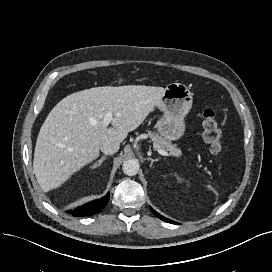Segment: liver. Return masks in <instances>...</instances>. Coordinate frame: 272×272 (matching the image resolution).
<instances>
[{"instance_id":"liver-1","label":"liver","mask_w":272,"mask_h":272,"mask_svg":"<svg viewBox=\"0 0 272 272\" xmlns=\"http://www.w3.org/2000/svg\"><path fill=\"white\" fill-rule=\"evenodd\" d=\"M163 87H94L63 98L48 114L37 137L33 169L45 191L59 187L99 156L103 143L118 146L159 103ZM111 112L113 127L103 125Z\"/></svg>"}]
</instances>
